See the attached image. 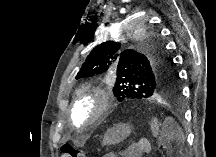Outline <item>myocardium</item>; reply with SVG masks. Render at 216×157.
<instances>
[{
	"mask_svg": "<svg viewBox=\"0 0 216 157\" xmlns=\"http://www.w3.org/2000/svg\"><path fill=\"white\" fill-rule=\"evenodd\" d=\"M92 98L94 109L90 118L82 125H76L74 120V113L82 99ZM113 104V97L109 91L99 85L85 84L77 88L72 95L69 113L72 116L71 123L77 128H87L97 123L111 108Z\"/></svg>",
	"mask_w": 216,
	"mask_h": 157,
	"instance_id": "f54148a6",
	"label": "myocardium"
}]
</instances>
